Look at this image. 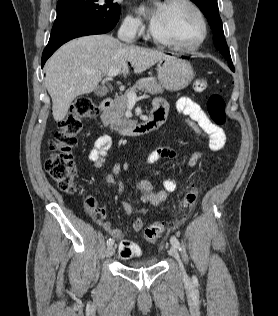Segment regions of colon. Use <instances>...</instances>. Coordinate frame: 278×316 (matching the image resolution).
Listing matches in <instances>:
<instances>
[{"label": "colon", "mask_w": 278, "mask_h": 316, "mask_svg": "<svg viewBox=\"0 0 278 316\" xmlns=\"http://www.w3.org/2000/svg\"><path fill=\"white\" fill-rule=\"evenodd\" d=\"M193 88L196 92H203L207 88V81L198 79L194 82ZM207 111L215 125L223 126L225 124V101L221 94L213 93L209 97ZM97 113V108L89 97L77 98L71 105L67 115L58 123V130L50 141L51 153L45 160V169L58 187L68 194H73L76 191V167L72 150L76 146L78 135L82 131V119L92 118ZM197 198L198 189L195 185H192L182 197V208L185 211L191 210ZM84 206L91 216H96L99 213L93 197H87ZM163 230V223H152L145 228L144 238L149 243H155L162 235ZM119 251L124 258L137 256L141 253L139 246L129 240L121 241Z\"/></svg>", "instance_id": "colon-1"}]
</instances>
